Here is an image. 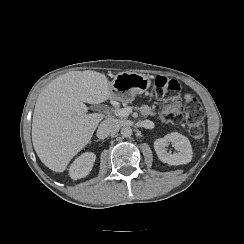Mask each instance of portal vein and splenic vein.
Segmentation results:
<instances>
[{
    "label": "portal vein and splenic vein",
    "mask_w": 244,
    "mask_h": 244,
    "mask_svg": "<svg viewBox=\"0 0 244 244\" xmlns=\"http://www.w3.org/2000/svg\"><path fill=\"white\" fill-rule=\"evenodd\" d=\"M132 113V108L127 106L125 108H121L118 110H115V115L120 117H127Z\"/></svg>",
    "instance_id": "portal-vein-and-splenic-vein-1"
}]
</instances>
